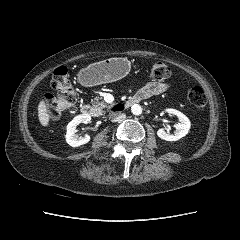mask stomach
<instances>
[{
    "label": "stomach",
    "instance_id": "0dacf381",
    "mask_svg": "<svg viewBox=\"0 0 240 240\" xmlns=\"http://www.w3.org/2000/svg\"><path fill=\"white\" fill-rule=\"evenodd\" d=\"M129 71V64L121 58H109L88 65L79 73L85 85L95 86L103 83L117 81Z\"/></svg>",
    "mask_w": 240,
    "mask_h": 240
}]
</instances>
